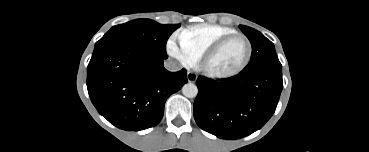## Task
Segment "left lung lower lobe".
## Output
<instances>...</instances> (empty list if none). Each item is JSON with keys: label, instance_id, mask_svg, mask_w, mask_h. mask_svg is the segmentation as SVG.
Returning a JSON list of instances; mask_svg holds the SVG:
<instances>
[{"label": "left lung lower lobe", "instance_id": "left-lung-lower-lobe-1", "mask_svg": "<svg viewBox=\"0 0 369 152\" xmlns=\"http://www.w3.org/2000/svg\"><path fill=\"white\" fill-rule=\"evenodd\" d=\"M194 118L204 131L234 140L271 118L283 88L281 67H259L218 81L199 76Z\"/></svg>", "mask_w": 369, "mask_h": 152}]
</instances>
